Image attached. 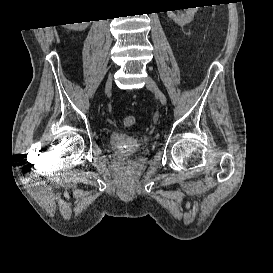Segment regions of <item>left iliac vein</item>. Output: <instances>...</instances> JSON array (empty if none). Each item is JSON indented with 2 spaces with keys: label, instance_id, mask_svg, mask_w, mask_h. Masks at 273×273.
Masks as SVG:
<instances>
[{
  "label": "left iliac vein",
  "instance_id": "4c4485c4",
  "mask_svg": "<svg viewBox=\"0 0 273 273\" xmlns=\"http://www.w3.org/2000/svg\"><path fill=\"white\" fill-rule=\"evenodd\" d=\"M145 81L146 87L156 95L162 105H166L167 98L165 94L159 89L156 82L150 76H148Z\"/></svg>",
  "mask_w": 273,
  "mask_h": 273
}]
</instances>
